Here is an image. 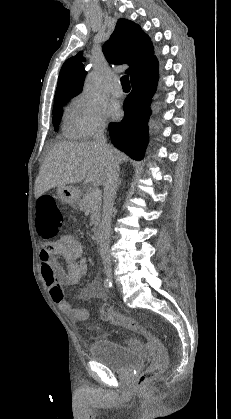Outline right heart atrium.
<instances>
[{"label":"right heart atrium","instance_id":"1","mask_svg":"<svg viewBox=\"0 0 231 419\" xmlns=\"http://www.w3.org/2000/svg\"><path fill=\"white\" fill-rule=\"evenodd\" d=\"M76 137L90 139L103 132L106 118L102 105L85 95L76 96L69 110Z\"/></svg>","mask_w":231,"mask_h":419}]
</instances>
